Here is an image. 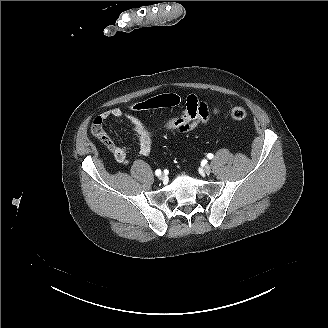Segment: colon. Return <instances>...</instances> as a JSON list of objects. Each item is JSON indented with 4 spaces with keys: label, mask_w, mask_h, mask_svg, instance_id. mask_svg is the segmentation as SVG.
Segmentation results:
<instances>
[{
    "label": "colon",
    "mask_w": 328,
    "mask_h": 328,
    "mask_svg": "<svg viewBox=\"0 0 328 328\" xmlns=\"http://www.w3.org/2000/svg\"><path fill=\"white\" fill-rule=\"evenodd\" d=\"M180 104V97L176 94H162L149 98L144 101L137 102L131 106V109L136 112L150 111L166 107H174ZM232 119L240 121L247 117V111L240 106H235L230 110ZM103 121L98 116L94 119L91 127L92 134L106 147L110 148L112 142L103 129Z\"/></svg>",
    "instance_id": "obj_1"
}]
</instances>
